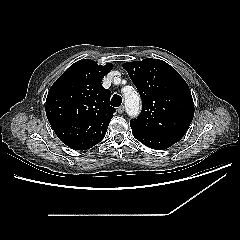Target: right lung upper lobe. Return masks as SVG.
<instances>
[{"mask_svg":"<svg viewBox=\"0 0 240 240\" xmlns=\"http://www.w3.org/2000/svg\"><path fill=\"white\" fill-rule=\"evenodd\" d=\"M112 64L84 59L71 65L51 86L46 115L58 138L75 150H87L105 136L115 108L102 79Z\"/></svg>","mask_w":240,"mask_h":240,"instance_id":"right-lung-upper-lobe-1","label":"right lung upper lobe"}]
</instances>
